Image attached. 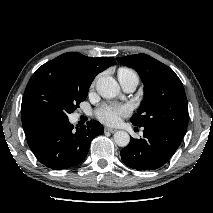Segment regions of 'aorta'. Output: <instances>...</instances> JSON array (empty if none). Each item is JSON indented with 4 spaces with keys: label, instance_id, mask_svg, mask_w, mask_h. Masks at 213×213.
I'll return each instance as SVG.
<instances>
[{
    "label": "aorta",
    "instance_id": "1",
    "mask_svg": "<svg viewBox=\"0 0 213 213\" xmlns=\"http://www.w3.org/2000/svg\"><path fill=\"white\" fill-rule=\"evenodd\" d=\"M96 90L103 98L111 99L120 92L117 81L111 76H102L96 82ZM114 142L120 147H126L130 142V136L126 131L114 133Z\"/></svg>",
    "mask_w": 213,
    "mask_h": 213
}]
</instances>
